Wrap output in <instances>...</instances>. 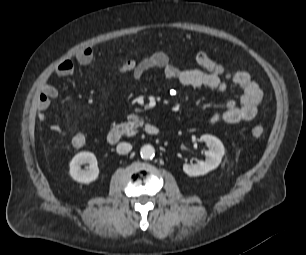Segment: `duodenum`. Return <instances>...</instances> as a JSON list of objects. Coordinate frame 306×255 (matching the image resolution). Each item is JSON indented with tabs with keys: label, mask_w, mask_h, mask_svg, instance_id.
<instances>
[{
	"label": "duodenum",
	"mask_w": 306,
	"mask_h": 255,
	"mask_svg": "<svg viewBox=\"0 0 306 255\" xmlns=\"http://www.w3.org/2000/svg\"><path fill=\"white\" fill-rule=\"evenodd\" d=\"M135 131V128L130 123L119 124L111 129L106 134V141L114 145L118 143L122 138L132 135ZM144 131L149 136H157L159 134V128L153 124H147L144 128Z\"/></svg>",
	"instance_id": "410a0bca"
}]
</instances>
